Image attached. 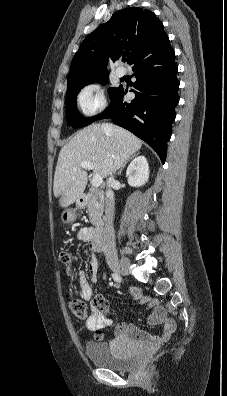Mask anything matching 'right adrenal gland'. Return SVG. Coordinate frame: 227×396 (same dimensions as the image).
I'll return each instance as SVG.
<instances>
[{
  "mask_svg": "<svg viewBox=\"0 0 227 396\" xmlns=\"http://www.w3.org/2000/svg\"><path fill=\"white\" fill-rule=\"evenodd\" d=\"M136 154H139V153H135V154L131 155L130 157H128V158L124 161V164L121 166V169L119 170L118 175H121V173H122L124 167L126 166L127 162H128L130 159H132L133 156L136 155Z\"/></svg>",
  "mask_w": 227,
  "mask_h": 396,
  "instance_id": "obj_1",
  "label": "right adrenal gland"
}]
</instances>
